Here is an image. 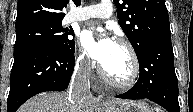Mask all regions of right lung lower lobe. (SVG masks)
<instances>
[{"label":"right lung lower lobe","instance_id":"right-lung-lower-lobe-1","mask_svg":"<svg viewBox=\"0 0 193 112\" xmlns=\"http://www.w3.org/2000/svg\"><path fill=\"white\" fill-rule=\"evenodd\" d=\"M74 50L64 52L44 44L14 56L7 112L16 110L32 96L45 91H63L74 69Z\"/></svg>","mask_w":193,"mask_h":112}]
</instances>
